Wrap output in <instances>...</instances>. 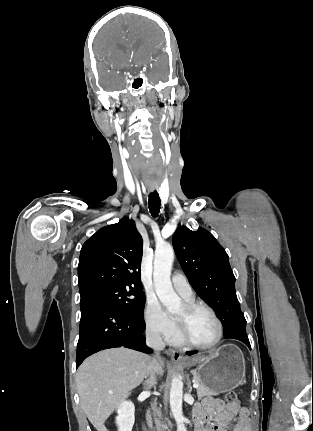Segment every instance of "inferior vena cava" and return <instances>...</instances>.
Instances as JSON below:
<instances>
[{
  "label": "inferior vena cava",
  "instance_id": "inferior-vena-cava-1",
  "mask_svg": "<svg viewBox=\"0 0 313 431\" xmlns=\"http://www.w3.org/2000/svg\"><path fill=\"white\" fill-rule=\"evenodd\" d=\"M146 344L155 350L157 356L159 352L165 348V344L160 336V333L157 330L148 328L146 330ZM155 373L162 374L161 364L153 358L150 362L147 375L149 377H153L154 382L149 386V388L155 383ZM158 431H162V428H165L161 423L157 422Z\"/></svg>",
  "mask_w": 313,
  "mask_h": 431
}]
</instances>
